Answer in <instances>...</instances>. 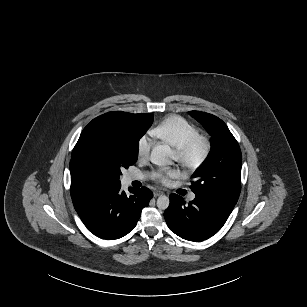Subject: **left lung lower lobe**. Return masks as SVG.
Instances as JSON below:
<instances>
[{"label": "left lung lower lobe", "instance_id": "left-lung-lower-lobe-1", "mask_svg": "<svg viewBox=\"0 0 307 307\" xmlns=\"http://www.w3.org/2000/svg\"><path fill=\"white\" fill-rule=\"evenodd\" d=\"M169 198L166 223L172 232L189 241H203L216 234L233 210L197 196L188 204L177 194Z\"/></svg>", "mask_w": 307, "mask_h": 307}]
</instances>
